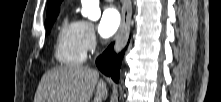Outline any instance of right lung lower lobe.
<instances>
[{
  "instance_id": "right-lung-lower-lobe-1",
  "label": "right lung lower lobe",
  "mask_w": 221,
  "mask_h": 102,
  "mask_svg": "<svg viewBox=\"0 0 221 102\" xmlns=\"http://www.w3.org/2000/svg\"><path fill=\"white\" fill-rule=\"evenodd\" d=\"M124 55V50L116 55L113 49V43L105 50V52L97 59L96 64L99 69L107 76H111V78L115 81H119L120 76V66L122 62V58Z\"/></svg>"
}]
</instances>
